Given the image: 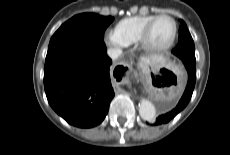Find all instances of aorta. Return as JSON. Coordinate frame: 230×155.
Masks as SVG:
<instances>
[{"label":"aorta","instance_id":"obj_1","mask_svg":"<svg viewBox=\"0 0 230 155\" xmlns=\"http://www.w3.org/2000/svg\"><path fill=\"white\" fill-rule=\"evenodd\" d=\"M139 114L143 120L152 121L156 115L154 105L149 100L142 99L139 104Z\"/></svg>","mask_w":230,"mask_h":155}]
</instances>
